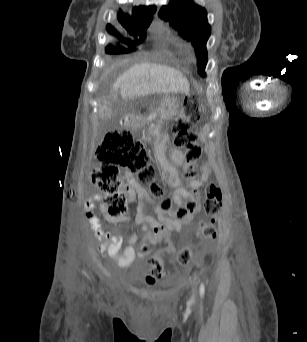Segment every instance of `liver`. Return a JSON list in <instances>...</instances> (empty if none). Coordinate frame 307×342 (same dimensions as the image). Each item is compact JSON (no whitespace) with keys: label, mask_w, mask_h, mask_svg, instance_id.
Returning a JSON list of instances; mask_svg holds the SVG:
<instances>
[{"label":"liver","mask_w":307,"mask_h":342,"mask_svg":"<svg viewBox=\"0 0 307 342\" xmlns=\"http://www.w3.org/2000/svg\"><path fill=\"white\" fill-rule=\"evenodd\" d=\"M113 90H120L121 98L126 100L147 94H188L190 84L186 76L176 68L162 64H134L117 78Z\"/></svg>","instance_id":"1"}]
</instances>
